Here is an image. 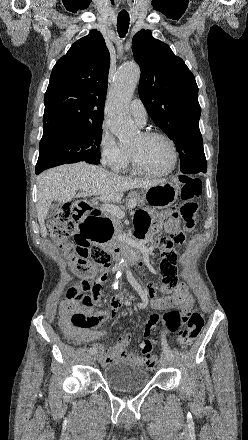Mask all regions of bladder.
<instances>
[{"instance_id":"31cf9c89","label":"bladder","mask_w":248,"mask_h":440,"mask_svg":"<svg viewBox=\"0 0 248 440\" xmlns=\"http://www.w3.org/2000/svg\"><path fill=\"white\" fill-rule=\"evenodd\" d=\"M102 379L113 390L130 391L145 387L150 381V374L140 365L120 360L103 368Z\"/></svg>"}]
</instances>
